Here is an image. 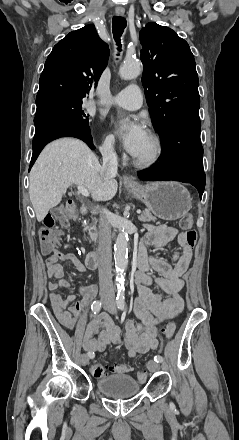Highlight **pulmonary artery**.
<instances>
[{"label": "pulmonary artery", "mask_w": 239, "mask_h": 440, "mask_svg": "<svg viewBox=\"0 0 239 440\" xmlns=\"http://www.w3.org/2000/svg\"><path fill=\"white\" fill-rule=\"evenodd\" d=\"M93 105L119 106L130 110L138 109L142 106V96L136 85H131L120 93L110 96L107 99L97 98L92 101Z\"/></svg>", "instance_id": "e3ab8cb5"}]
</instances>
